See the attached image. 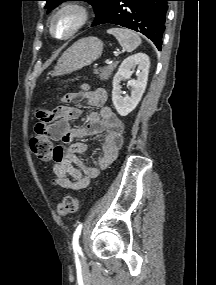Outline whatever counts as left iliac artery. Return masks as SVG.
Instances as JSON below:
<instances>
[{
	"instance_id": "left-iliac-artery-1",
	"label": "left iliac artery",
	"mask_w": 216,
	"mask_h": 285,
	"mask_svg": "<svg viewBox=\"0 0 216 285\" xmlns=\"http://www.w3.org/2000/svg\"><path fill=\"white\" fill-rule=\"evenodd\" d=\"M81 230H82V224H79L78 227L76 228L75 232H74L73 240H72L73 248L75 250H79V251H80L79 236L81 234Z\"/></svg>"
}]
</instances>
